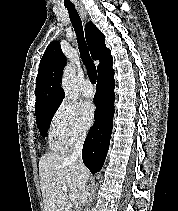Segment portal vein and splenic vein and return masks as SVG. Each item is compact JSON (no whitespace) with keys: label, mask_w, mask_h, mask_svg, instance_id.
<instances>
[{"label":"portal vein and splenic vein","mask_w":178,"mask_h":211,"mask_svg":"<svg viewBox=\"0 0 178 211\" xmlns=\"http://www.w3.org/2000/svg\"><path fill=\"white\" fill-rule=\"evenodd\" d=\"M62 190L65 191V192L68 191L66 186H63ZM69 198L72 202H76L77 196L75 194H69Z\"/></svg>","instance_id":"18ae733b"}]
</instances>
